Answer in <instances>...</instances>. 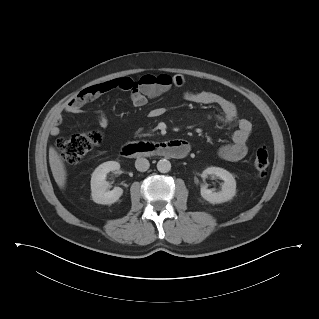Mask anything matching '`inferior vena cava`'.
I'll return each mask as SVG.
<instances>
[{
    "label": "inferior vena cava",
    "mask_w": 319,
    "mask_h": 319,
    "mask_svg": "<svg viewBox=\"0 0 319 319\" xmlns=\"http://www.w3.org/2000/svg\"><path fill=\"white\" fill-rule=\"evenodd\" d=\"M149 166H150L149 161L145 158H138L135 161V167L138 171L144 172L148 170Z\"/></svg>",
    "instance_id": "1"
}]
</instances>
